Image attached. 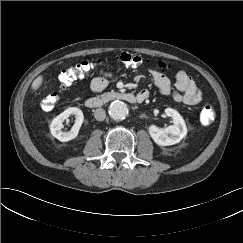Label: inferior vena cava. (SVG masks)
I'll list each match as a JSON object with an SVG mask.
<instances>
[{
  "label": "inferior vena cava",
  "mask_w": 243,
  "mask_h": 243,
  "mask_svg": "<svg viewBox=\"0 0 243 243\" xmlns=\"http://www.w3.org/2000/svg\"><path fill=\"white\" fill-rule=\"evenodd\" d=\"M94 117L96 120L98 121H103L106 117V113L104 111V109L102 108H98L95 112H94Z\"/></svg>",
  "instance_id": "602c4592"
}]
</instances>
